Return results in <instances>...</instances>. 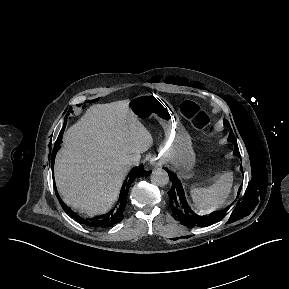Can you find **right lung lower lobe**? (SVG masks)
I'll use <instances>...</instances> for the list:
<instances>
[{
	"label": "right lung lower lobe",
	"mask_w": 289,
	"mask_h": 289,
	"mask_svg": "<svg viewBox=\"0 0 289 289\" xmlns=\"http://www.w3.org/2000/svg\"><path fill=\"white\" fill-rule=\"evenodd\" d=\"M66 125V123H65ZM64 125V128H65ZM63 131V130H62ZM62 133V132H61ZM61 135V134H60ZM60 139L58 137L56 143H55V147H54V152H53V159H52V164L54 165V159H55V155L60 147ZM150 173V172H149ZM147 174V172H145V170H143L142 166H140L139 168L135 167L131 170V172L129 173L128 177L126 178L121 191H120V195H119V199H120V204L119 206L116 205V208L111 210L109 213L103 215V216H97V217H93L90 219H85L82 218L80 216H78L75 212H73L70 208H68L61 200L60 196L57 193L56 190V195L57 198L62 206V208L64 209V211L69 214L71 217H73L75 220L81 222L82 224H85L87 226L90 227H100V228H105V227H111L112 225L119 223L120 221H122L123 219V212L126 206V202H127V194L129 192V187L131 185V183L140 175H144Z\"/></svg>",
	"instance_id": "98d812e1"
}]
</instances>
